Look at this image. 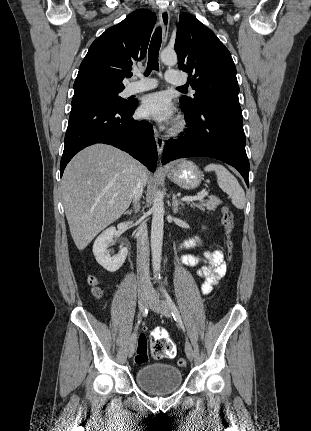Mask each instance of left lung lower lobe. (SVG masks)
<instances>
[{
    "label": "left lung lower lobe",
    "mask_w": 311,
    "mask_h": 431,
    "mask_svg": "<svg viewBox=\"0 0 311 431\" xmlns=\"http://www.w3.org/2000/svg\"><path fill=\"white\" fill-rule=\"evenodd\" d=\"M184 113L189 126L181 133L184 136L166 142L162 163L192 156L216 158L235 167L249 187V161L239 101L219 100L196 112Z\"/></svg>",
    "instance_id": "left-lung-lower-lobe-1"
}]
</instances>
